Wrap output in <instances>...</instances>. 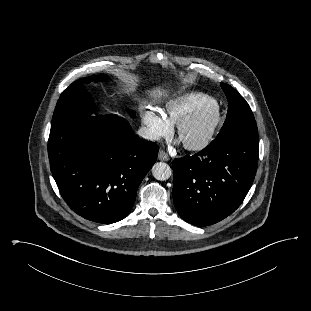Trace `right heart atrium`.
<instances>
[{
  "label": "right heart atrium",
  "instance_id": "right-heart-atrium-1",
  "mask_svg": "<svg viewBox=\"0 0 311 311\" xmlns=\"http://www.w3.org/2000/svg\"><path fill=\"white\" fill-rule=\"evenodd\" d=\"M142 123L145 133L150 140H159L171 133L172 127L165 121L162 115L146 110L142 113Z\"/></svg>",
  "mask_w": 311,
  "mask_h": 311
}]
</instances>
